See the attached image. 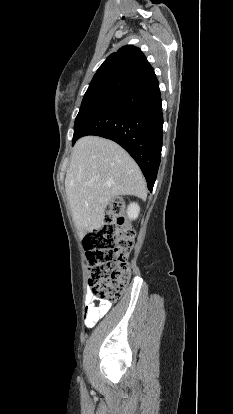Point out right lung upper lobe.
Returning <instances> with one entry per match:
<instances>
[{
	"label": "right lung upper lobe",
	"instance_id": "1",
	"mask_svg": "<svg viewBox=\"0 0 233 414\" xmlns=\"http://www.w3.org/2000/svg\"><path fill=\"white\" fill-rule=\"evenodd\" d=\"M154 74V70L142 51L132 45L120 48L112 53L99 67L93 79L104 76H119L129 80H137Z\"/></svg>",
	"mask_w": 233,
	"mask_h": 414
}]
</instances>
